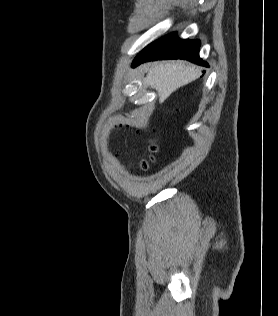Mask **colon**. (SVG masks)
Here are the masks:
<instances>
[{"instance_id":"1","label":"colon","mask_w":278,"mask_h":316,"mask_svg":"<svg viewBox=\"0 0 278 316\" xmlns=\"http://www.w3.org/2000/svg\"><path fill=\"white\" fill-rule=\"evenodd\" d=\"M150 149H151L152 152L156 151V145H155L154 143H152L151 146H150ZM148 165H149V163H148V161H146V160H143V161L141 162V166H142V168H144V169H146V168L148 167Z\"/></svg>"}]
</instances>
